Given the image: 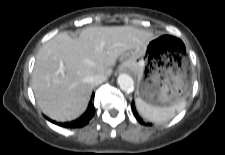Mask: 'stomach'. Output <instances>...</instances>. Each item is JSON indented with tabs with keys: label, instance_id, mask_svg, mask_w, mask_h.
<instances>
[{
	"label": "stomach",
	"instance_id": "stomach-1",
	"mask_svg": "<svg viewBox=\"0 0 225 155\" xmlns=\"http://www.w3.org/2000/svg\"><path fill=\"white\" fill-rule=\"evenodd\" d=\"M160 38L148 42L146 49L128 53L122 67L137 76V94L144 102L167 107L185 99L190 91L187 66L170 62L159 53Z\"/></svg>",
	"mask_w": 225,
	"mask_h": 155
}]
</instances>
